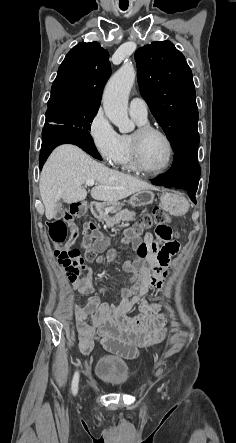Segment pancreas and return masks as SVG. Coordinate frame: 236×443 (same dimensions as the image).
I'll return each mask as SVG.
<instances>
[{"label": "pancreas", "instance_id": "1", "mask_svg": "<svg viewBox=\"0 0 236 443\" xmlns=\"http://www.w3.org/2000/svg\"><path fill=\"white\" fill-rule=\"evenodd\" d=\"M104 220L108 227H113L114 225L119 224L121 221L125 222L135 220V212L128 209L119 210L114 216H107L104 218Z\"/></svg>", "mask_w": 236, "mask_h": 443}]
</instances>
